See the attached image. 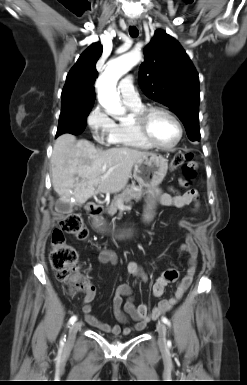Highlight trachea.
I'll return each instance as SVG.
<instances>
[{"mask_svg": "<svg viewBox=\"0 0 247 385\" xmlns=\"http://www.w3.org/2000/svg\"><path fill=\"white\" fill-rule=\"evenodd\" d=\"M129 34L132 38H135L139 35V31L135 26H130L129 27Z\"/></svg>", "mask_w": 247, "mask_h": 385, "instance_id": "3493384b", "label": "trachea"}]
</instances>
